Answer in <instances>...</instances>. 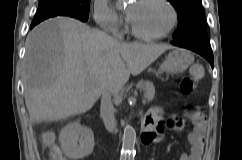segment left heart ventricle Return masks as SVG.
<instances>
[{"mask_svg": "<svg viewBox=\"0 0 242 160\" xmlns=\"http://www.w3.org/2000/svg\"><path fill=\"white\" fill-rule=\"evenodd\" d=\"M128 11L133 27L146 35L162 33L172 21L169 7L161 0H135Z\"/></svg>", "mask_w": 242, "mask_h": 160, "instance_id": "b2bd125f", "label": "left heart ventricle"}]
</instances>
